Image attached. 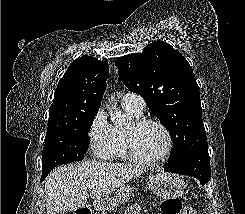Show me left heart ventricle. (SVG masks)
I'll use <instances>...</instances> for the list:
<instances>
[{
	"mask_svg": "<svg viewBox=\"0 0 245 214\" xmlns=\"http://www.w3.org/2000/svg\"><path fill=\"white\" fill-rule=\"evenodd\" d=\"M135 144L144 157L156 158L165 150L167 139L160 128L149 125L136 132Z\"/></svg>",
	"mask_w": 245,
	"mask_h": 214,
	"instance_id": "b2bd125f",
	"label": "left heart ventricle"
}]
</instances>
